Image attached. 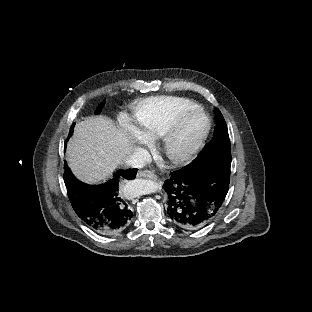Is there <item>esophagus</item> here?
Listing matches in <instances>:
<instances>
[{"instance_id": "34e87169", "label": "esophagus", "mask_w": 312, "mask_h": 312, "mask_svg": "<svg viewBox=\"0 0 312 312\" xmlns=\"http://www.w3.org/2000/svg\"><path fill=\"white\" fill-rule=\"evenodd\" d=\"M137 177L138 178H147V179H151L154 181H158V177L150 170H139L137 172Z\"/></svg>"}]
</instances>
